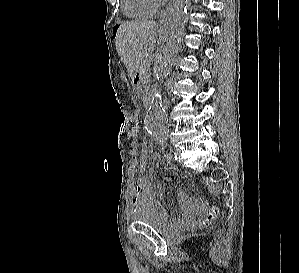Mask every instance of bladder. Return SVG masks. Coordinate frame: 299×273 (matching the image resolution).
<instances>
[{
	"label": "bladder",
	"mask_w": 299,
	"mask_h": 273,
	"mask_svg": "<svg viewBox=\"0 0 299 273\" xmlns=\"http://www.w3.org/2000/svg\"><path fill=\"white\" fill-rule=\"evenodd\" d=\"M135 223L149 225L157 230H165L169 224L168 220L154 209H143L135 212Z\"/></svg>",
	"instance_id": "1"
}]
</instances>
